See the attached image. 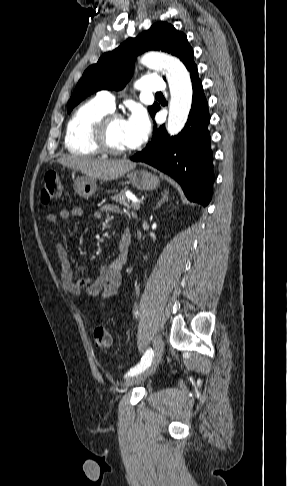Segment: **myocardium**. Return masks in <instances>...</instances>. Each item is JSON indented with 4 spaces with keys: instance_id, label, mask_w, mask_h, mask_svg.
I'll return each instance as SVG.
<instances>
[{
    "instance_id": "obj_1",
    "label": "myocardium",
    "mask_w": 287,
    "mask_h": 486,
    "mask_svg": "<svg viewBox=\"0 0 287 486\" xmlns=\"http://www.w3.org/2000/svg\"><path fill=\"white\" fill-rule=\"evenodd\" d=\"M119 119H123V116L120 113L115 111H110L105 115H103L93 125L92 133H91L92 142L100 153L119 156V155H125L131 151L130 148L127 149L114 148L108 142L109 127L113 121Z\"/></svg>"
}]
</instances>
